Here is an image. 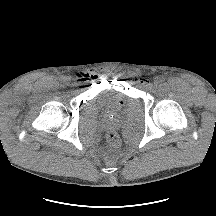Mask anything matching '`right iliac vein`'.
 Instances as JSON below:
<instances>
[{
	"label": "right iliac vein",
	"instance_id": "63e3f726",
	"mask_svg": "<svg viewBox=\"0 0 216 216\" xmlns=\"http://www.w3.org/2000/svg\"><path fill=\"white\" fill-rule=\"evenodd\" d=\"M64 81L68 82V81H69V78H64Z\"/></svg>",
	"mask_w": 216,
	"mask_h": 216
}]
</instances>
